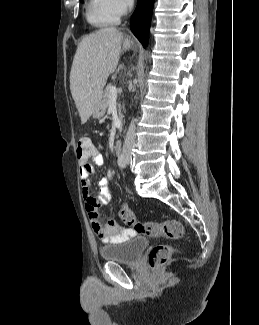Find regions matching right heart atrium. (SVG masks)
<instances>
[{"label":"right heart atrium","mask_w":259,"mask_h":325,"mask_svg":"<svg viewBox=\"0 0 259 325\" xmlns=\"http://www.w3.org/2000/svg\"><path fill=\"white\" fill-rule=\"evenodd\" d=\"M106 2L109 10L119 18L129 10L133 0H106Z\"/></svg>","instance_id":"obj_1"}]
</instances>
